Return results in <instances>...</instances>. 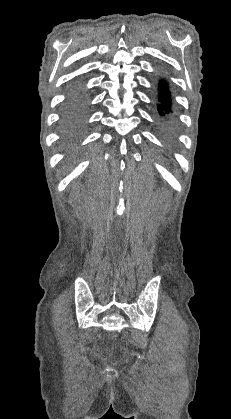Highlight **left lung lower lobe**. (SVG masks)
<instances>
[{
  "label": "left lung lower lobe",
  "mask_w": 231,
  "mask_h": 419,
  "mask_svg": "<svg viewBox=\"0 0 231 419\" xmlns=\"http://www.w3.org/2000/svg\"><path fill=\"white\" fill-rule=\"evenodd\" d=\"M158 111L162 116L163 130L168 137H172V109L168 85L165 81L159 83Z\"/></svg>",
  "instance_id": "1"
}]
</instances>
